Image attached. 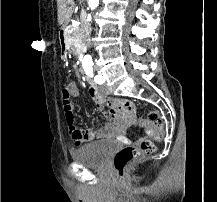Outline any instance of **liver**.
I'll return each instance as SVG.
<instances>
[{
    "label": "liver",
    "mask_w": 217,
    "mask_h": 202,
    "mask_svg": "<svg viewBox=\"0 0 217 202\" xmlns=\"http://www.w3.org/2000/svg\"><path fill=\"white\" fill-rule=\"evenodd\" d=\"M57 4L58 24L62 26V28H66L73 12V0H57Z\"/></svg>",
    "instance_id": "obj_1"
}]
</instances>
